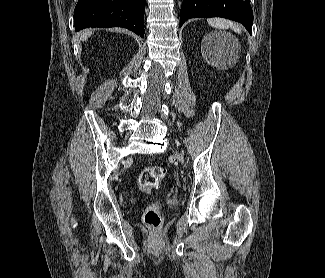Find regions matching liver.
I'll return each instance as SVG.
<instances>
[{
    "mask_svg": "<svg viewBox=\"0 0 325 278\" xmlns=\"http://www.w3.org/2000/svg\"><path fill=\"white\" fill-rule=\"evenodd\" d=\"M92 31H85L81 37V39L86 40L90 35Z\"/></svg>",
    "mask_w": 325,
    "mask_h": 278,
    "instance_id": "liver-1",
    "label": "liver"
}]
</instances>
